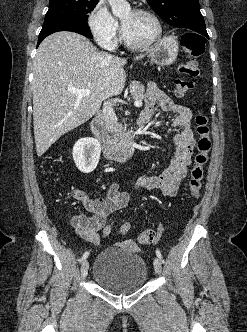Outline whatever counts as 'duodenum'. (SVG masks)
Segmentation results:
<instances>
[{
	"instance_id": "1",
	"label": "duodenum",
	"mask_w": 247,
	"mask_h": 332,
	"mask_svg": "<svg viewBox=\"0 0 247 332\" xmlns=\"http://www.w3.org/2000/svg\"><path fill=\"white\" fill-rule=\"evenodd\" d=\"M145 122L146 119L140 116L138 120L139 127L142 128ZM90 127L95 137L99 140L103 153L106 158L112 160L125 161L132 158L135 155L137 151L136 143L132 142L121 146H117L112 143V141L109 139L108 135L104 130L101 115H97L92 119Z\"/></svg>"
}]
</instances>
